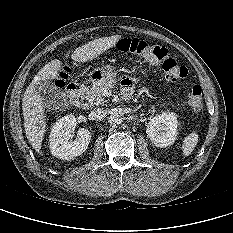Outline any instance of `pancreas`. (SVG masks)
<instances>
[{
	"label": "pancreas",
	"mask_w": 233,
	"mask_h": 233,
	"mask_svg": "<svg viewBox=\"0 0 233 233\" xmlns=\"http://www.w3.org/2000/svg\"><path fill=\"white\" fill-rule=\"evenodd\" d=\"M113 84L109 82H98L95 83L90 89L82 88L83 98L86 100L87 106H98L107 102L103 96L105 89L110 90L113 88Z\"/></svg>",
	"instance_id": "pancreas-1"
}]
</instances>
